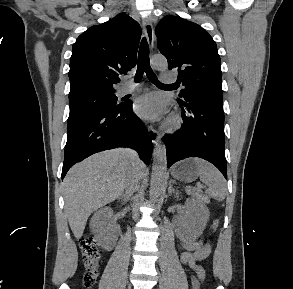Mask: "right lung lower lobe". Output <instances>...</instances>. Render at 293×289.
Masks as SVG:
<instances>
[{
	"mask_svg": "<svg viewBox=\"0 0 293 289\" xmlns=\"http://www.w3.org/2000/svg\"><path fill=\"white\" fill-rule=\"evenodd\" d=\"M67 130L62 179L75 163L100 151L131 147L145 164L152 156V140L130 101L68 123Z\"/></svg>",
	"mask_w": 293,
	"mask_h": 289,
	"instance_id": "obj_1",
	"label": "right lung lower lobe"
}]
</instances>
